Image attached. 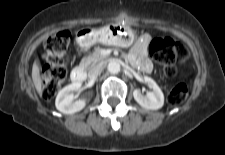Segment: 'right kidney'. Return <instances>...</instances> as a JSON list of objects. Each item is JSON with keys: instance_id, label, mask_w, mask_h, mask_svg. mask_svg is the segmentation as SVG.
Instances as JSON below:
<instances>
[{"instance_id": "obj_1", "label": "right kidney", "mask_w": 225, "mask_h": 155, "mask_svg": "<svg viewBox=\"0 0 225 155\" xmlns=\"http://www.w3.org/2000/svg\"><path fill=\"white\" fill-rule=\"evenodd\" d=\"M80 88L81 82H74L60 90L55 100L57 110L64 114H73L81 111L86 106V100L79 99L73 101V92Z\"/></svg>"}]
</instances>
